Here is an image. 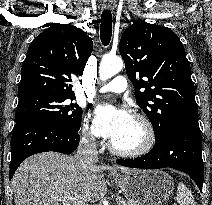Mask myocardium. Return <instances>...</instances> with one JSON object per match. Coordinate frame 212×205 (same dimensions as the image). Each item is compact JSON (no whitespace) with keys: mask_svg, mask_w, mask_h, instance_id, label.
Here are the masks:
<instances>
[{"mask_svg":"<svg viewBox=\"0 0 212 205\" xmlns=\"http://www.w3.org/2000/svg\"><path fill=\"white\" fill-rule=\"evenodd\" d=\"M133 119L136 120L143 128L144 139L142 143L134 149L124 150L115 146V144L111 141L109 149L113 154L126 158H136L149 153L153 149L156 142V134L152 122L147 116L140 113L134 114Z\"/></svg>","mask_w":212,"mask_h":205,"instance_id":"myocardium-1","label":"myocardium"}]
</instances>
